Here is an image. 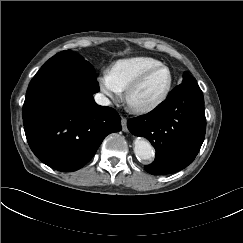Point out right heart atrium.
Returning a JSON list of instances; mask_svg holds the SVG:
<instances>
[{
	"label": "right heart atrium",
	"mask_w": 243,
	"mask_h": 243,
	"mask_svg": "<svg viewBox=\"0 0 243 243\" xmlns=\"http://www.w3.org/2000/svg\"><path fill=\"white\" fill-rule=\"evenodd\" d=\"M101 90L110 98L117 99L120 91L111 82L108 73H105L100 79Z\"/></svg>",
	"instance_id": "right-heart-atrium-1"
}]
</instances>
